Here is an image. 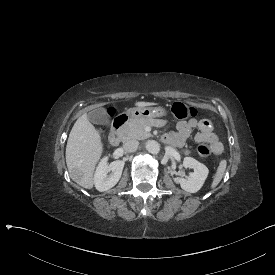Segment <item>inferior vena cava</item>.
Segmentation results:
<instances>
[{
  "label": "inferior vena cava",
  "mask_w": 275,
  "mask_h": 275,
  "mask_svg": "<svg viewBox=\"0 0 275 275\" xmlns=\"http://www.w3.org/2000/svg\"><path fill=\"white\" fill-rule=\"evenodd\" d=\"M139 142L137 140H128L123 143V149L128 152H135L138 149Z\"/></svg>",
  "instance_id": "inferior-vena-cava-1"
}]
</instances>
